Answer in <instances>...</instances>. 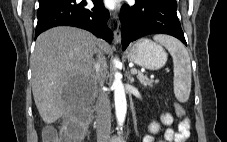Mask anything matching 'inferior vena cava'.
I'll use <instances>...</instances> for the list:
<instances>
[{
    "mask_svg": "<svg viewBox=\"0 0 227 142\" xmlns=\"http://www.w3.org/2000/svg\"><path fill=\"white\" fill-rule=\"evenodd\" d=\"M98 53V59L94 62L95 81L99 85L97 99V142H108L111 131V108L108 94L103 90L104 80L106 78L107 63L100 50H95Z\"/></svg>",
    "mask_w": 227,
    "mask_h": 142,
    "instance_id": "obj_1",
    "label": "inferior vena cava"
}]
</instances>
